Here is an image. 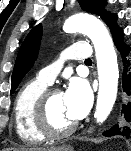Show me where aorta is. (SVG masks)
Listing matches in <instances>:
<instances>
[{
    "label": "aorta",
    "mask_w": 131,
    "mask_h": 151,
    "mask_svg": "<svg viewBox=\"0 0 131 151\" xmlns=\"http://www.w3.org/2000/svg\"><path fill=\"white\" fill-rule=\"evenodd\" d=\"M64 30L68 33H83L94 45L99 79L94 117L98 123H102L114 106L118 89L119 70L112 38L104 24L89 14L71 16L66 20Z\"/></svg>",
    "instance_id": "1"
}]
</instances>
